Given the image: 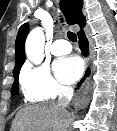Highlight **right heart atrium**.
I'll list each match as a JSON object with an SVG mask.
<instances>
[{
	"label": "right heart atrium",
	"instance_id": "1",
	"mask_svg": "<svg viewBox=\"0 0 117 131\" xmlns=\"http://www.w3.org/2000/svg\"><path fill=\"white\" fill-rule=\"evenodd\" d=\"M20 83L30 101L55 99L70 90L66 84L53 77L46 65L27 63L21 71Z\"/></svg>",
	"mask_w": 117,
	"mask_h": 131
}]
</instances>
